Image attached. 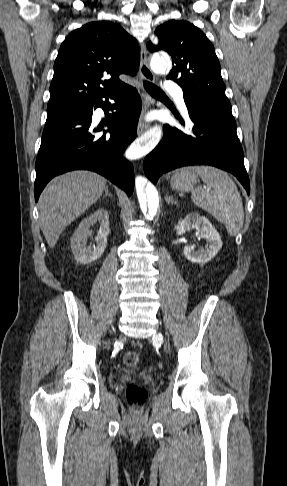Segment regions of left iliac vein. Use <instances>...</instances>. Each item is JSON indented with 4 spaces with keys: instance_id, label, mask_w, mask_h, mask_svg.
<instances>
[{
    "instance_id": "obj_1",
    "label": "left iliac vein",
    "mask_w": 287,
    "mask_h": 486,
    "mask_svg": "<svg viewBox=\"0 0 287 486\" xmlns=\"http://www.w3.org/2000/svg\"><path fill=\"white\" fill-rule=\"evenodd\" d=\"M155 338L160 340L162 338V335L160 333H158V334L155 335Z\"/></svg>"
}]
</instances>
